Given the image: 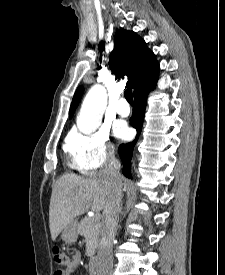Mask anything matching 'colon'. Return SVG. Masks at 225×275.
<instances>
[{"instance_id":"obj_1","label":"colon","mask_w":225,"mask_h":275,"mask_svg":"<svg viewBox=\"0 0 225 275\" xmlns=\"http://www.w3.org/2000/svg\"><path fill=\"white\" fill-rule=\"evenodd\" d=\"M71 259L72 256L67 250L58 247L53 249V260L56 264L66 266Z\"/></svg>"}]
</instances>
